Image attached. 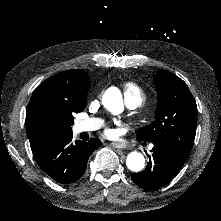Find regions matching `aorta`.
<instances>
[{
	"instance_id": "1",
	"label": "aorta",
	"mask_w": 221,
	"mask_h": 221,
	"mask_svg": "<svg viewBox=\"0 0 221 221\" xmlns=\"http://www.w3.org/2000/svg\"><path fill=\"white\" fill-rule=\"evenodd\" d=\"M104 105L112 112H118L122 109V97L117 92L113 97H104ZM126 166L133 172H140L145 166V158L140 152H131L126 159Z\"/></svg>"
}]
</instances>
